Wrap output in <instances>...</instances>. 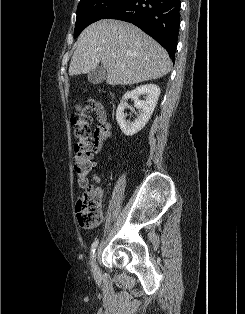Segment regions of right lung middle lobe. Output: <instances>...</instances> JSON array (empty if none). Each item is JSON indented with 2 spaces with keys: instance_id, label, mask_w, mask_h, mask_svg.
I'll return each mask as SVG.
<instances>
[{
  "instance_id": "right-lung-middle-lobe-1",
  "label": "right lung middle lobe",
  "mask_w": 245,
  "mask_h": 314,
  "mask_svg": "<svg viewBox=\"0 0 245 314\" xmlns=\"http://www.w3.org/2000/svg\"><path fill=\"white\" fill-rule=\"evenodd\" d=\"M127 1L128 0H80L77 8L74 38L88 25L103 19L105 15Z\"/></svg>"
}]
</instances>
